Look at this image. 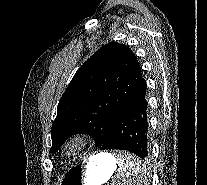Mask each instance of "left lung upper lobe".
Returning a JSON list of instances; mask_svg holds the SVG:
<instances>
[{
	"label": "left lung upper lobe",
	"mask_w": 207,
	"mask_h": 185,
	"mask_svg": "<svg viewBox=\"0 0 207 185\" xmlns=\"http://www.w3.org/2000/svg\"><path fill=\"white\" fill-rule=\"evenodd\" d=\"M146 86L136 56L126 45L102 46L75 73L59 101L50 152L79 133L91 135L101 149L118 114Z\"/></svg>",
	"instance_id": "1"
}]
</instances>
